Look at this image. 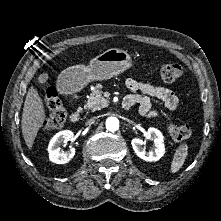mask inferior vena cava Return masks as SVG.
<instances>
[{"label": "inferior vena cava", "instance_id": "obj_1", "mask_svg": "<svg viewBox=\"0 0 221 221\" xmlns=\"http://www.w3.org/2000/svg\"><path fill=\"white\" fill-rule=\"evenodd\" d=\"M93 121H94V118H93V119L91 118V119L88 120L87 123L90 124V123H92Z\"/></svg>", "mask_w": 221, "mask_h": 221}]
</instances>
